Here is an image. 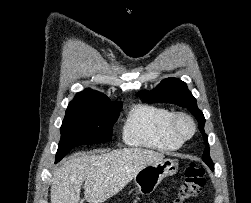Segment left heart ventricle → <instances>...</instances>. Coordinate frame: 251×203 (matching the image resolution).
Segmentation results:
<instances>
[{
  "label": "left heart ventricle",
  "instance_id": "b2bd125f",
  "mask_svg": "<svg viewBox=\"0 0 251 203\" xmlns=\"http://www.w3.org/2000/svg\"><path fill=\"white\" fill-rule=\"evenodd\" d=\"M182 128L187 131L188 130V125L184 123V124H182Z\"/></svg>",
  "mask_w": 251,
  "mask_h": 203
}]
</instances>
